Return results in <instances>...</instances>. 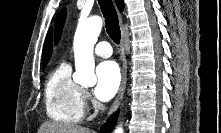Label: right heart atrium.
Masks as SVG:
<instances>
[{"mask_svg": "<svg viewBox=\"0 0 221 133\" xmlns=\"http://www.w3.org/2000/svg\"><path fill=\"white\" fill-rule=\"evenodd\" d=\"M83 101L85 103H88L90 104L91 103V98H90V95L87 91L83 90Z\"/></svg>", "mask_w": 221, "mask_h": 133, "instance_id": "obj_1", "label": "right heart atrium"}]
</instances>
